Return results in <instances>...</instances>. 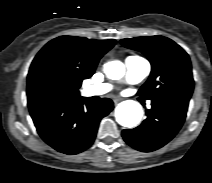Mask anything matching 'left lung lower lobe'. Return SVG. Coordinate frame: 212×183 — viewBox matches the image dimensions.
Here are the masks:
<instances>
[{"instance_id":"left-lung-lower-lobe-1","label":"left lung lower lobe","mask_w":212,"mask_h":183,"mask_svg":"<svg viewBox=\"0 0 212 183\" xmlns=\"http://www.w3.org/2000/svg\"><path fill=\"white\" fill-rule=\"evenodd\" d=\"M147 118L134 129H125L122 136L131 147L150 152L167 144L180 130L186 118L188 102L181 100H151Z\"/></svg>"}]
</instances>
